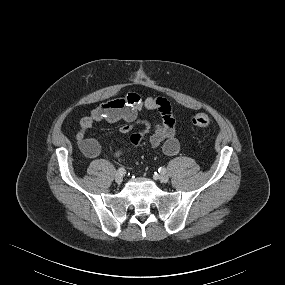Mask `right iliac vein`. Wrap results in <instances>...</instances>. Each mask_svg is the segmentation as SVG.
I'll return each instance as SVG.
<instances>
[{"label": "right iliac vein", "instance_id": "obj_1", "mask_svg": "<svg viewBox=\"0 0 285 285\" xmlns=\"http://www.w3.org/2000/svg\"><path fill=\"white\" fill-rule=\"evenodd\" d=\"M115 181H116L117 184H121L122 181H123V176L121 174L117 173L115 175Z\"/></svg>", "mask_w": 285, "mask_h": 285}]
</instances>
